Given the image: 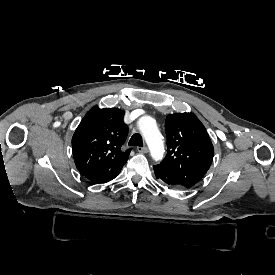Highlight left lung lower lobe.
<instances>
[{"mask_svg":"<svg viewBox=\"0 0 275 275\" xmlns=\"http://www.w3.org/2000/svg\"><path fill=\"white\" fill-rule=\"evenodd\" d=\"M154 172L157 179L166 184L167 186L175 189H185L183 185L167 170L163 169L160 165L154 166Z\"/></svg>","mask_w":275,"mask_h":275,"instance_id":"0a47b994","label":"left lung lower lobe"}]
</instances>
